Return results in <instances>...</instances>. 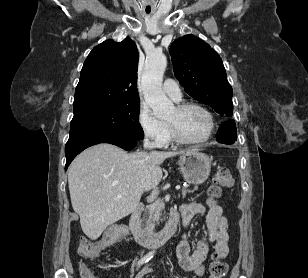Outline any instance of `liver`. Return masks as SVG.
<instances>
[{
  "instance_id": "6515ba94",
  "label": "liver",
  "mask_w": 308,
  "mask_h": 278,
  "mask_svg": "<svg viewBox=\"0 0 308 278\" xmlns=\"http://www.w3.org/2000/svg\"><path fill=\"white\" fill-rule=\"evenodd\" d=\"M182 153H127L115 145L101 143L79 154L70 165L68 185L84 234L96 240L107 226L132 213L143 192L160 183L164 160Z\"/></svg>"
}]
</instances>
